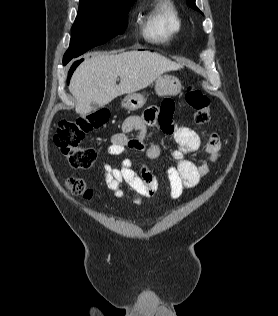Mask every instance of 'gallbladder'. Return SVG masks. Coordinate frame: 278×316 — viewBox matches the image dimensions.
Here are the masks:
<instances>
[{
	"mask_svg": "<svg viewBox=\"0 0 278 316\" xmlns=\"http://www.w3.org/2000/svg\"><path fill=\"white\" fill-rule=\"evenodd\" d=\"M91 108H92V111H95L99 108V106L96 105L95 103H91Z\"/></svg>",
	"mask_w": 278,
	"mask_h": 316,
	"instance_id": "1",
	"label": "gallbladder"
}]
</instances>
